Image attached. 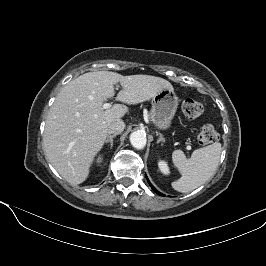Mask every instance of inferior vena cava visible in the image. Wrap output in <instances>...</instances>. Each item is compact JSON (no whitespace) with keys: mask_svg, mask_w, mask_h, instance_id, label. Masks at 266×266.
<instances>
[{"mask_svg":"<svg viewBox=\"0 0 266 266\" xmlns=\"http://www.w3.org/2000/svg\"><path fill=\"white\" fill-rule=\"evenodd\" d=\"M125 128V123L121 119H114L108 123L107 131L109 134H120Z\"/></svg>","mask_w":266,"mask_h":266,"instance_id":"602c4592","label":"inferior vena cava"}]
</instances>
